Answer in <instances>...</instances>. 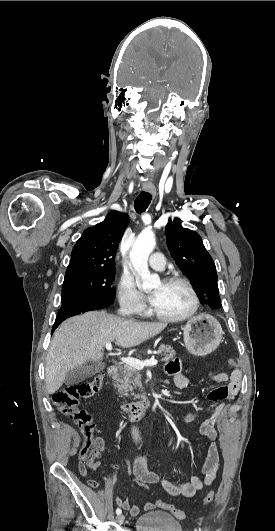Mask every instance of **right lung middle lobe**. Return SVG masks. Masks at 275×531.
I'll return each instance as SVG.
<instances>
[{"label":"right lung middle lobe","mask_w":275,"mask_h":531,"mask_svg":"<svg viewBox=\"0 0 275 531\" xmlns=\"http://www.w3.org/2000/svg\"><path fill=\"white\" fill-rule=\"evenodd\" d=\"M115 269H85L66 273L62 289V300L83 298L104 305H111L115 299Z\"/></svg>","instance_id":"dd1d6c3e"}]
</instances>
